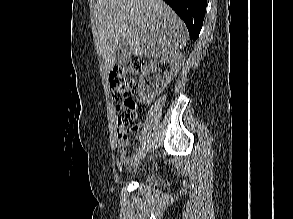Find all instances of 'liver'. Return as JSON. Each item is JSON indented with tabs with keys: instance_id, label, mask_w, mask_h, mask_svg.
Instances as JSON below:
<instances>
[{
	"instance_id": "obj_1",
	"label": "liver",
	"mask_w": 293,
	"mask_h": 219,
	"mask_svg": "<svg viewBox=\"0 0 293 219\" xmlns=\"http://www.w3.org/2000/svg\"><path fill=\"white\" fill-rule=\"evenodd\" d=\"M94 19L95 47L108 72L120 39L133 55L157 58L178 52L187 37L183 21L162 0H97Z\"/></svg>"
}]
</instances>
